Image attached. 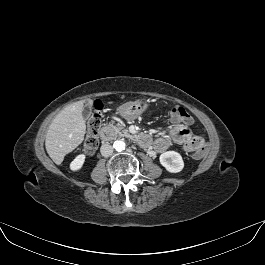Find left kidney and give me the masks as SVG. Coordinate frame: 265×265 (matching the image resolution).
I'll use <instances>...</instances> for the list:
<instances>
[{"instance_id":"1","label":"left kidney","mask_w":265,"mask_h":265,"mask_svg":"<svg viewBox=\"0 0 265 265\" xmlns=\"http://www.w3.org/2000/svg\"><path fill=\"white\" fill-rule=\"evenodd\" d=\"M161 165L170 173H178L184 167L182 156L175 151H167L160 155Z\"/></svg>"}]
</instances>
